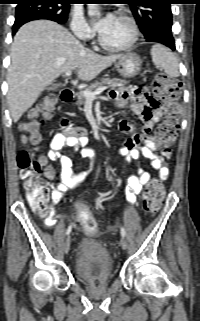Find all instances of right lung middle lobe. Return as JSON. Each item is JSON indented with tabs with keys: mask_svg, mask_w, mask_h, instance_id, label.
Wrapping results in <instances>:
<instances>
[{
	"mask_svg": "<svg viewBox=\"0 0 200 321\" xmlns=\"http://www.w3.org/2000/svg\"><path fill=\"white\" fill-rule=\"evenodd\" d=\"M71 1L66 0H23L16 6L15 18L28 14H43L59 24L68 19Z\"/></svg>",
	"mask_w": 200,
	"mask_h": 321,
	"instance_id": "right-lung-middle-lobe-1",
	"label": "right lung middle lobe"
}]
</instances>
